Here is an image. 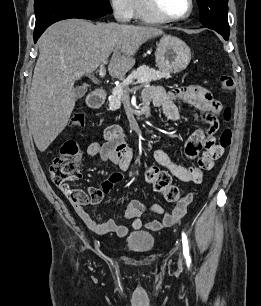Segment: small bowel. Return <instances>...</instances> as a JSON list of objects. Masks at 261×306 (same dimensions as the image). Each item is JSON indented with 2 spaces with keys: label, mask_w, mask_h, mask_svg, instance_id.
Segmentation results:
<instances>
[{
  "label": "small bowel",
  "mask_w": 261,
  "mask_h": 306,
  "mask_svg": "<svg viewBox=\"0 0 261 306\" xmlns=\"http://www.w3.org/2000/svg\"><path fill=\"white\" fill-rule=\"evenodd\" d=\"M143 97L145 103H152L160 107L164 115L171 121H177L180 118L179 102L199 112L200 119L207 125V128L195 131L185 143V153L189 158H196L201 153L197 167L177 164L164 150L159 148L153 151V157L159 165L165 167L178 180L200 184L203 180V171L211 170L224 152V148L216 144L214 137L219 128V115L223 109L221 103L206 88L198 85H186L169 92L159 86L150 87L144 92ZM104 137L105 143L89 144L87 154L91 157L99 156L104 161L116 165L121 171H127L132 161V150L126 143L121 128L116 125L107 127ZM117 175V180H112L111 176L103 182L101 186L103 196L110 191L114 183L121 179V175L118 173ZM62 191L69 197L68 190L62 189ZM192 200L193 195L189 193L177 202L172 211L165 212L158 204L146 206L139 200L132 199L127 204L124 217L132 220V228L135 230L145 227L156 231L178 223L187 213ZM72 203L77 215L93 232L97 234L113 233L118 237H125L128 234L127 226L118 224L113 219L101 222L99 218H93L83 208V205L73 201ZM145 212L159 214L162 218L144 224L141 217Z\"/></svg>",
  "instance_id": "obj_1"
}]
</instances>
